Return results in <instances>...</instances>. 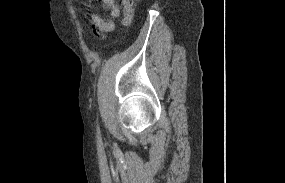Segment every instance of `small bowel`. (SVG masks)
<instances>
[{
  "label": "small bowel",
  "instance_id": "c3829d8e",
  "mask_svg": "<svg viewBox=\"0 0 285 183\" xmlns=\"http://www.w3.org/2000/svg\"><path fill=\"white\" fill-rule=\"evenodd\" d=\"M95 0H86V5L91 6ZM104 8L109 10V19H105L97 12H92L89 15L92 24L93 33L95 35H103L115 28V21L121 14L120 7L115 3V0H101Z\"/></svg>",
  "mask_w": 285,
  "mask_h": 183
}]
</instances>
